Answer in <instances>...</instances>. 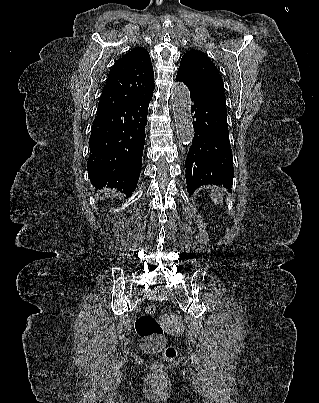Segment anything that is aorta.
Returning <instances> with one entry per match:
<instances>
[{"instance_id":"762f6f07","label":"aorta","mask_w":319,"mask_h":403,"mask_svg":"<svg viewBox=\"0 0 319 403\" xmlns=\"http://www.w3.org/2000/svg\"><path fill=\"white\" fill-rule=\"evenodd\" d=\"M171 101L178 140L184 145L192 142L194 130L191 116L190 93L186 85L176 83L171 88Z\"/></svg>"}]
</instances>
